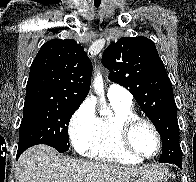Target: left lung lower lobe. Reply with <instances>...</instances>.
Returning a JSON list of instances; mask_svg holds the SVG:
<instances>
[{
    "instance_id": "0a47b994",
    "label": "left lung lower lobe",
    "mask_w": 196,
    "mask_h": 182,
    "mask_svg": "<svg viewBox=\"0 0 196 182\" xmlns=\"http://www.w3.org/2000/svg\"><path fill=\"white\" fill-rule=\"evenodd\" d=\"M161 159L159 162H168L176 164L178 167L182 168V158H180V154L176 152L174 148H167L166 146H163V151L161 155Z\"/></svg>"
}]
</instances>
